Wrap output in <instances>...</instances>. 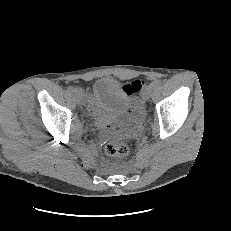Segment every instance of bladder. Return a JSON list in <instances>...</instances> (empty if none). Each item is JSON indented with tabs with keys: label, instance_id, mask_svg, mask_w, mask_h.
I'll use <instances>...</instances> for the list:
<instances>
[{
	"label": "bladder",
	"instance_id": "1",
	"mask_svg": "<svg viewBox=\"0 0 231 231\" xmlns=\"http://www.w3.org/2000/svg\"><path fill=\"white\" fill-rule=\"evenodd\" d=\"M93 94L104 110L115 115L124 114L131 103L129 91L110 77L96 80L93 85Z\"/></svg>",
	"mask_w": 231,
	"mask_h": 231
}]
</instances>
